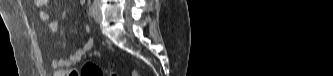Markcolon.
Listing matches in <instances>:
<instances>
[{
	"mask_svg": "<svg viewBox=\"0 0 333 76\" xmlns=\"http://www.w3.org/2000/svg\"><path fill=\"white\" fill-rule=\"evenodd\" d=\"M80 72H83L84 76H104L103 71L94 62L91 61L85 62L81 67ZM110 75L116 76L115 73H111ZM133 75L136 74L133 73Z\"/></svg>",
	"mask_w": 333,
	"mask_h": 76,
	"instance_id": "obj_1",
	"label": "colon"
}]
</instances>
